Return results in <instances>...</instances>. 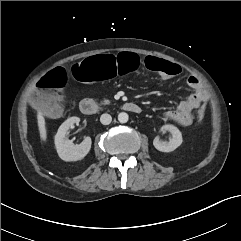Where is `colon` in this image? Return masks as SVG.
<instances>
[{
	"label": "colon",
	"instance_id": "1",
	"mask_svg": "<svg viewBox=\"0 0 241 241\" xmlns=\"http://www.w3.org/2000/svg\"><path fill=\"white\" fill-rule=\"evenodd\" d=\"M140 56L132 51H111L83 58L72 66L71 74L80 83H94L111 77L126 76L137 72L141 67ZM144 64L163 79H175L181 74L180 67L166 59L148 57ZM66 73L57 68L42 77L37 84L33 97L34 106L51 116H58L63 102L62 89L66 84ZM205 108L198 112V119L203 120Z\"/></svg>",
	"mask_w": 241,
	"mask_h": 241
}]
</instances>
